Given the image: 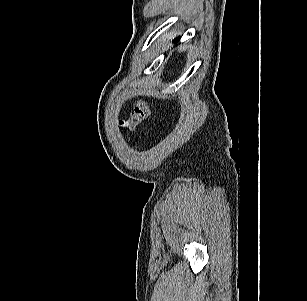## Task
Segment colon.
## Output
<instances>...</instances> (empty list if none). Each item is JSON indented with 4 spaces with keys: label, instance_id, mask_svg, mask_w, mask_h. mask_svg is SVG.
<instances>
[{
    "label": "colon",
    "instance_id": "5ec220e1",
    "mask_svg": "<svg viewBox=\"0 0 307 301\" xmlns=\"http://www.w3.org/2000/svg\"><path fill=\"white\" fill-rule=\"evenodd\" d=\"M150 115L151 111L147 102L140 99L136 101L131 115L126 119L119 120V125L123 130L132 133L140 124L148 120Z\"/></svg>",
    "mask_w": 307,
    "mask_h": 301
}]
</instances>
